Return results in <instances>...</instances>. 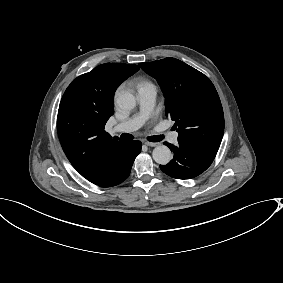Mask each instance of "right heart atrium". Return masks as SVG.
Returning <instances> with one entry per match:
<instances>
[{"label":"right heart atrium","mask_w":283,"mask_h":283,"mask_svg":"<svg viewBox=\"0 0 283 283\" xmlns=\"http://www.w3.org/2000/svg\"><path fill=\"white\" fill-rule=\"evenodd\" d=\"M121 90V86L117 87V89L115 90V93H114V98L116 99L119 91Z\"/></svg>","instance_id":"obj_1"}]
</instances>
